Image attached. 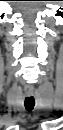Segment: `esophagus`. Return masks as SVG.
Instances as JSON below:
<instances>
[{"label": "esophagus", "instance_id": "obj_1", "mask_svg": "<svg viewBox=\"0 0 63 130\" xmlns=\"http://www.w3.org/2000/svg\"><path fill=\"white\" fill-rule=\"evenodd\" d=\"M28 95H32V93H28Z\"/></svg>", "mask_w": 63, "mask_h": 130}]
</instances>
